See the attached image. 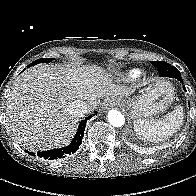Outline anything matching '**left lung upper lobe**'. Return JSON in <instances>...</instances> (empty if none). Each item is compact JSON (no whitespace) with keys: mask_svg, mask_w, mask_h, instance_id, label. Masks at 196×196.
Masks as SVG:
<instances>
[{"mask_svg":"<svg viewBox=\"0 0 196 196\" xmlns=\"http://www.w3.org/2000/svg\"><path fill=\"white\" fill-rule=\"evenodd\" d=\"M159 71V76L171 77L170 74L180 75L178 69L164 61H152L151 62Z\"/></svg>","mask_w":196,"mask_h":196,"instance_id":"5c2ea615","label":"left lung upper lobe"}]
</instances>
